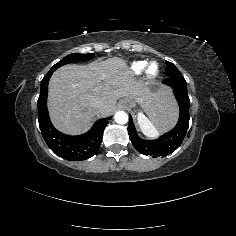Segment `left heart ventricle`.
<instances>
[{
	"label": "left heart ventricle",
	"instance_id": "b2bd125f",
	"mask_svg": "<svg viewBox=\"0 0 236 236\" xmlns=\"http://www.w3.org/2000/svg\"><path fill=\"white\" fill-rule=\"evenodd\" d=\"M158 70H159V67L157 64H152L149 68V72L151 74H156L158 72Z\"/></svg>",
	"mask_w": 236,
	"mask_h": 236
}]
</instances>
